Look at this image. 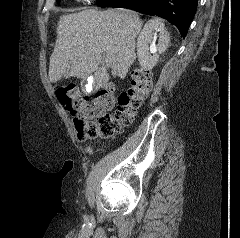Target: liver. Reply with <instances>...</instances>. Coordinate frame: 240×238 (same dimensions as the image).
I'll return each mask as SVG.
<instances>
[{"label":"liver","instance_id":"6515ba94","mask_svg":"<svg viewBox=\"0 0 240 238\" xmlns=\"http://www.w3.org/2000/svg\"><path fill=\"white\" fill-rule=\"evenodd\" d=\"M141 28L138 14L125 9H88L62 16L50 57L49 81H59L67 67L70 76L81 79L94 72L95 91L108 85V67L114 77L124 79L136 59L135 38ZM102 54L112 63L102 60Z\"/></svg>","mask_w":240,"mask_h":238}]
</instances>
